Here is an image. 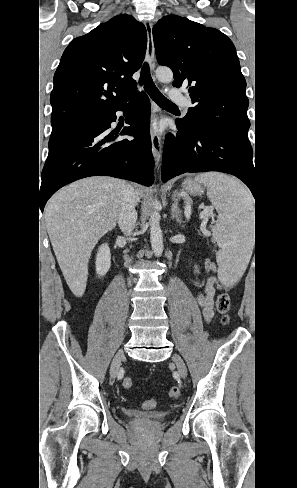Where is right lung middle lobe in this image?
<instances>
[{
  "label": "right lung middle lobe",
  "instance_id": "right-lung-middle-lobe-1",
  "mask_svg": "<svg viewBox=\"0 0 297 488\" xmlns=\"http://www.w3.org/2000/svg\"><path fill=\"white\" fill-rule=\"evenodd\" d=\"M72 129H73V128H72ZM69 130H71V129H69ZM69 130H66V131H60V132H53V133H51V136H50V141H49V142L53 141L55 138H57V137L61 136L62 134H64L65 132H67V131H69Z\"/></svg>",
  "mask_w": 297,
  "mask_h": 488
}]
</instances>
